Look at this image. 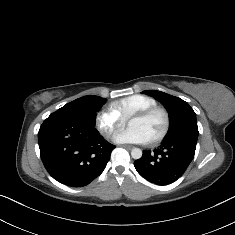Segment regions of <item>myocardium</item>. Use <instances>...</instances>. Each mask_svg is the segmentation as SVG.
Here are the masks:
<instances>
[{"instance_id":"myocardium-1","label":"myocardium","mask_w":235,"mask_h":235,"mask_svg":"<svg viewBox=\"0 0 235 235\" xmlns=\"http://www.w3.org/2000/svg\"><path fill=\"white\" fill-rule=\"evenodd\" d=\"M156 113H160L164 117L165 126L159 135H157L155 138H153L152 140L149 141L150 145H155V144L160 143L169 134L170 129H171V123H172L171 116H170L169 112L163 107L153 106V107H150L146 110H143L141 112L134 114L132 117V118H139V119H148Z\"/></svg>"}]
</instances>
